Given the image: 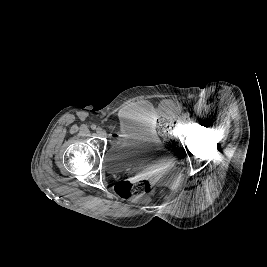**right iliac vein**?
<instances>
[{"label": "right iliac vein", "mask_w": 267, "mask_h": 267, "mask_svg": "<svg viewBox=\"0 0 267 267\" xmlns=\"http://www.w3.org/2000/svg\"><path fill=\"white\" fill-rule=\"evenodd\" d=\"M96 132H97L98 135H102L103 134V131H102V129L100 127H98L96 129Z\"/></svg>", "instance_id": "right-iliac-vein-1"}]
</instances>
